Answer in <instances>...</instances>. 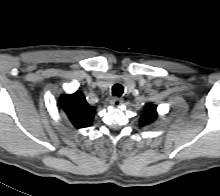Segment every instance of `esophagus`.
<instances>
[{"instance_id": "obj_1", "label": "esophagus", "mask_w": 220, "mask_h": 196, "mask_svg": "<svg viewBox=\"0 0 220 196\" xmlns=\"http://www.w3.org/2000/svg\"><path fill=\"white\" fill-rule=\"evenodd\" d=\"M122 103H123V100L120 99V98H113V99L110 101V104H111L112 106H116V107L120 106Z\"/></svg>"}]
</instances>
